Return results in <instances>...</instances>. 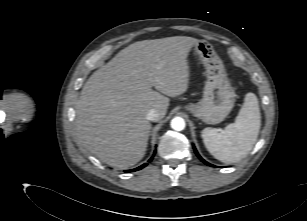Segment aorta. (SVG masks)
I'll list each match as a JSON object with an SVG mask.
<instances>
[{
	"mask_svg": "<svg viewBox=\"0 0 307 221\" xmlns=\"http://www.w3.org/2000/svg\"><path fill=\"white\" fill-rule=\"evenodd\" d=\"M171 128L174 129L175 131H182L184 130L186 124L185 120L182 117H174L171 120Z\"/></svg>",
	"mask_w": 307,
	"mask_h": 221,
	"instance_id": "obj_1",
	"label": "aorta"
}]
</instances>
